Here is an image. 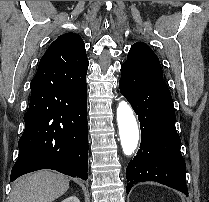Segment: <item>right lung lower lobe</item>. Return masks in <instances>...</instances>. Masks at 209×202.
I'll return each mask as SVG.
<instances>
[{
	"instance_id": "1",
	"label": "right lung lower lobe",
	"mask_w": 209,
	"mask_h": 202,
	"mask_svg": "<svg viewBox=\"0 0 209 202\" xmlns=\"http://www.w3.org/2000/svg\"><path fill=\"white\" fill-rule=\"evenodd\" d=\"M54 63L52 58L41 59L31 81L25 130L11 181L40 169L88 178L86 77L73 81L51 69Z\"/></svg>"
}]
</instances>
